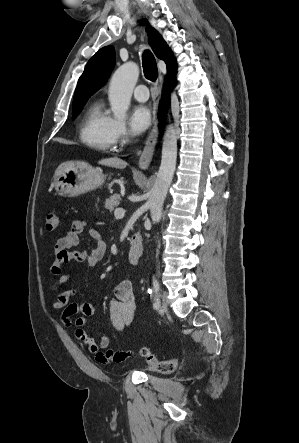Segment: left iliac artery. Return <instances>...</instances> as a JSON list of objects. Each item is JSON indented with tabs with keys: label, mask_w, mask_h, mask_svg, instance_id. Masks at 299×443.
<instances>
[{
	"label": "left iliac artery",
	"mask_w": 299,
	"mask_h": 443,
	"mask_svg": "<svg viewBox=\"0 0 299 443\" xmlns=\"http://www.w3.org/2000/svg\"><path fill=\"white\" fill-rule=\"evenodd\" d=\"M153 285H154L155 292L157 293V298H156V300H155V302L153 304V307L155 309H158L159 306H160L159 293H158L159 292V284H158V281L155 278H153Z\"/></svg>",
	"instance_id": "1"
}]
</instances>
